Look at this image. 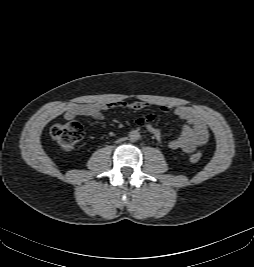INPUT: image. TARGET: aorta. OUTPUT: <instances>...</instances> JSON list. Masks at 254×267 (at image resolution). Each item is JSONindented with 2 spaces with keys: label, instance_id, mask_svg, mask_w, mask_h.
Masks as SVG:
<instances>
[{
  "label": "aorta",
  "instance_id": "762f6f07",
  "mask_svg": "<svg viewBox=\"0 0 254 267\" xmlns=\"http://www.w3.org/2000/svg\"><path fill=\"white\" fill-rule=\"evenodd\" d=\"M129 138L131 141L135 142L140 139V133L137 130H132L129 133Z\"/></svg>",
  "mask_w": 254,
  "mask_h": 267
}]
</instances>
